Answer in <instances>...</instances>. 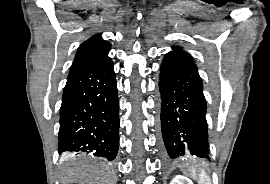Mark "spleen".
I'll return each instance as SVG.
<instances>
[{"label":"spleen","instance_id":"3e777b00","mask_svg":"<svg viewBox=\"0 0 270 184\" xmlns=\"http://www.w3.org/2000/svg\"><path fill=\"white\" fill-rule=\"evenodd\" d=\"M192 177H196L195 170L192 171ZM198 183L199 184H211V181H210L208 175L206 174L205 170L200 171V174L198 177Z\"/></svg>","mask_w":270,"mask_h":184}]
</instances>
